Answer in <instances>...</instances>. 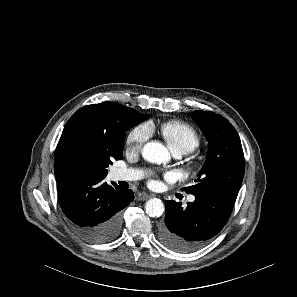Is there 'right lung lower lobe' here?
<instances>
[{
    "label": "right lung lower lobe",
    "mask_w": 297,
    "mask_h": 297,
    "mask_svg": "<svg viewBox=\"0 0 297 297\" xmlns=\"http://www.w3.org/2000/svg\"><path fill=\"white\" fill-rule=\"evenodd\" d=\"M103 179L83 173L57 185L64 214L83 238L95 243L109 242L118 236L121 210L134 199L130 189L109 186Z\"/></svg>",
    "instance_id": "right-lung-lower-lobe-1"
}]
</instances>
